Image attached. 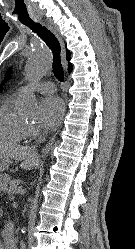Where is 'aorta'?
Wrapping results in <instances>:
<instances>
[{"label":"aorta","instance_id":"762f6f07","mask_svg":"<svg viewBox=\"0 0 135 249\" xmlns=\"http://www.w3.org/2000/svg\"><path fill=\"white\" fill-rule=\"evenodd\" d=\"M50 66V53L45 48H37L31 53L26 62V77L30 81H39L47 74ZM21 102L24 111L31 115L37 114L38 101L34 93L29 92L25 94L22 97Z\"/></svg>","mask_w":135,"mask_h":249}]
</instances>
